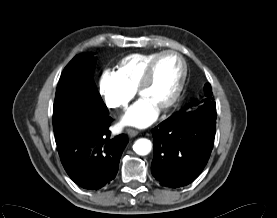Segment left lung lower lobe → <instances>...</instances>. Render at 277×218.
Wrapping results in <instances>:
<instances>
[{"mask_svg":"<svg viewBox=\"0 0 277 218\" xmlns=\"http://www.w3.org/2000/svg\"><path fill=\"white\" fill-rule=\"evenodd\" d=\"M216 128V109L174 114L152 130V175L165 187L194 181L210 157Z\"/></svg>","mask_w":277,"mask_h":218,"instance_id":"1","label":"left lung lower lobe"}]
</instances>
